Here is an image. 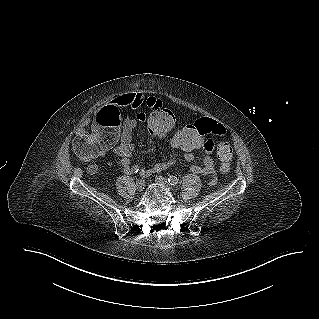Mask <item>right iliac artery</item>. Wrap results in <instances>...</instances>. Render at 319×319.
Instances as JSON below:
<instances>
[{
	"label": "right iliac artery",
	"mask_w": 319,
	"mask_h": 319,
	"mask_svg": "<svg viewBox=\"0 0 319 319\" xmlns=\"http://www.w3.org/2000/svg\"><path fill=\"white\" fill-rule=\"evenodd\" d=\"M138 171H139V167H138V166H133V168H132V173L135 174V173H137ZM141 175H142L143 177L146 176L144 173H141Z\"/></svg>",
	"instance_id": "1"
}]
</instances>
